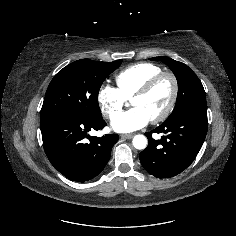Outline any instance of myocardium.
I'll return each mask as SVG.
<instances>
[{"instance_id": "myocardium-1", "label": "myocardium", "mask_w": 236, "mask_h": 236, "mask_svg": "<svg viewBox=\"0 0 236 236\" xmlns=\"http://www.w3.org/2000/svg\"><path fill=\"white\" fill-rule=\"evenodd\" d=\"M163 79H169L171 82V85H172L171 96H170V99H169L168 104L165 107L164 111L161 114H159L158 116H156L150 120L153 124H157V123H160V122H163L164 120H166L171 115V113L176 105L178 94H179V82H178V79L175 76V74H173L172 72H161L160 74H158V75L154 76L153 78H151L150 80H148L131 97V100H132L134 98L144 97V96L148 95L154 89V87L159 82H161Z\"/></svg>"}]
</instances>
